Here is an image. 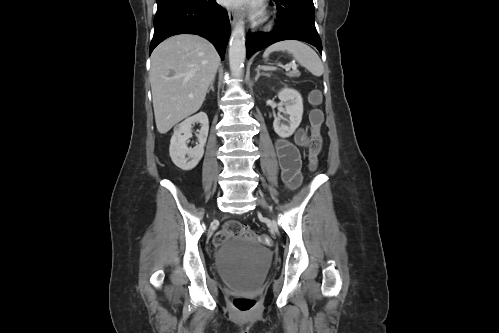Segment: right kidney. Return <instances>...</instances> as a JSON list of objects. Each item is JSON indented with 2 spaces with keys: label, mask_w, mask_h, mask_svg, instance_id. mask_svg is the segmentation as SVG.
Segmentation results:
<instances>
[{
  "label": "right kidney",
  "mask_w": 499,
  "mask_h": 333,
  "mask_svg": "<svg viewBox=\"0 0 499 333\" xmlns=\"http://www.w3.org/2000/svg\"><path fill=\"white\" fill-rule=\"evenodd\" d=\"M200 123L201 129L197 135L199 144L188 148L186 142L192 137V124ZM209 121L206 113L200 112L185 119L174 130L170 141L169 153L173 163L182 170H191L197 166L204 154V146L208 137ZM186 155L188 156L186 158Z\"/></svg>",
  "instance_id": "right-kidney-1"
}]
</instances>
